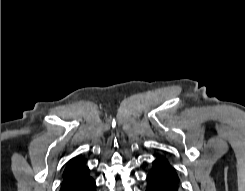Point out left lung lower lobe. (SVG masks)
<instances>
[{
    "instance_id": "obj_1",
    "label": "left lung lower lobe",
    "mask_w": 245,
    "mask_h": 191,
    "mask_svg": "<svg viewBox=\"0 0 245 191\" xmlns=\"http://www.w3.org/2000/svg\"><path fill=\"white\" fill-rule=\"evenodd\" d=\"M146 191H180L179 176L164 156H158L153 162V167L149 171L147 178Z\"/></svg>"
}]
</instances>
